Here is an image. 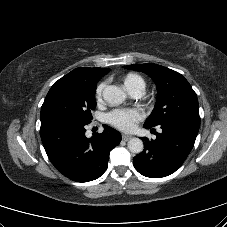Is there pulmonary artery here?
I'll return each mask as SVG.
<instances>
[{"mask_svg":"<svg viewBox=\"0 0 227 227\" xmlns=\"http://www.w3.org/2000/svg\"><path fill=\"white\" fill-rule=\"evenodd\" d=\"M130 94L134 97H141L144 93V86L139 85L131 90H129Z\"/></svg>","mask_w":227,"mask_h":227,"instance_id":"obj_1","label":"pulmonary artery"}]
</instances>
